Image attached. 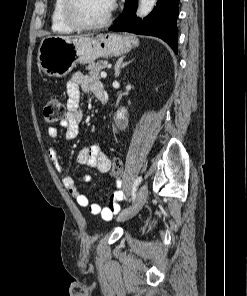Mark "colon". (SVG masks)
<instances>
[{"instance_id":"obj_1","label":"colon","mask_w":247,"mask_h":296,"mask_svg":"<svg viewBox=\"0 0 247 296\" xmlns=\"http://www.w3.org/2000/svg\"><path fill=\"white\" fill-rule=\"evenodd\" d=\"M66 114V108L61 99L55 95L47 97L43 107V117L48 123L61 120ZM123 173V161L119 157H114L111 162V175L120 178Z\"/></svg>"}]
</instances>
